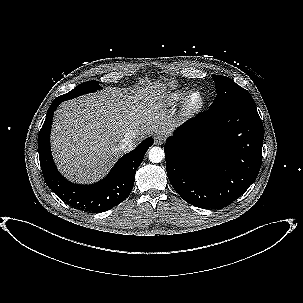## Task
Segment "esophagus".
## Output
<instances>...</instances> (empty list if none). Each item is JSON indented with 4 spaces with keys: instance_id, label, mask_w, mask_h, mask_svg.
<instances>
[{
    "instance_id": "esophagus-1",
    "label": "esophagus",
    "mask_w": 303,
    "mask_h": 303,
    "mask_svg": "<svg viewBox=\"0 0 303 303\" xmlns=\"http://www.w3.org/2000/svg\"><path fill=\"white\" fill-rule=\"evenodd\" d=\"M164 141H165V137H164L162 134L157 135V136H155V138H154V143H155L156 145H161V144H163Z\"/></svg>"
}]
</instances>
